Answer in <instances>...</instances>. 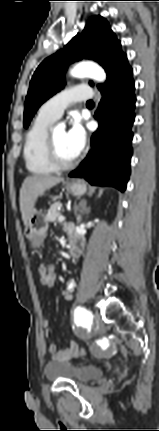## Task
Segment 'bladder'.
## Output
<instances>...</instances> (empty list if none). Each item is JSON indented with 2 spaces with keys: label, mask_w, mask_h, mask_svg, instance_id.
Instances as JSON below:
<instances>
[{
  "label": "bladder",
  "mask_w": 159,
  "mask_h": 431,
  "mask_svg": "<svg viewBox=\"0 0 159 431\" xmlns=\"http://www.w3.org/2000/svg\"><path fill=\"white\" fill-rule=\"evenodd\" d=\"M103 373L104 371L99 367L71 362H49L44 369V374L50 381L66 380L75 383L95 380Z\"/></svg>",
  "instance_id": "1"
}]
</instances>
